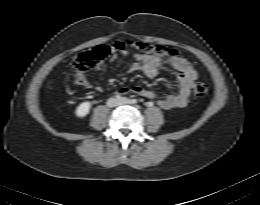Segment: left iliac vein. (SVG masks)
Masks as SVG:
<instances>
[{
  "instance_id": "obj_1",
  "label": "left iliac vein",
  "mask_w": 260,
  "mask_h": 205,
  "mask_svg": "<svg viewBox=\"0 0 260 205\" xmlns=\"http://www.w3.org/2000/svg\"><path fill=\"white\" fill-rule=\"evenodd\" d=\"M119 105H128L131 104V101L128 98H122L118 100Z\"/></svg>"
}]
</instances>
